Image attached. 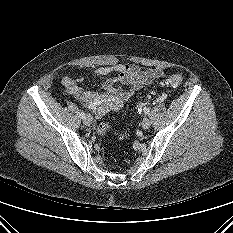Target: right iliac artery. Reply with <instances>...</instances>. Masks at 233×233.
I'll return each mask as SVG.
<instances>
[{
	"label": "right iliac artery",
	"instance_id": "1",
	"mask_svg": "<svg viewBox=\"0 0 233 233\" xmlns=\"http://www.w3.org/2000/svg\"><path fill=\"white\" fill-rule=\"evenodd\" d=\"M86 117V115H85V113L82 111V112H80V118L81 119H84Z\"/></svg>",
	"mask_w": 233,
	"mask_h": 233
}]
</instances>
